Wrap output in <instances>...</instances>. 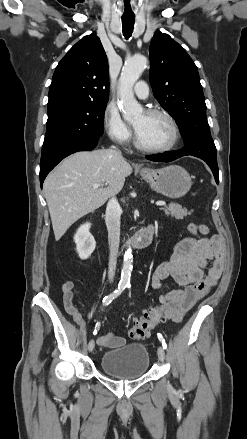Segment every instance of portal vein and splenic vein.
<instances>
[{"label":"portal vein and splenic vein","mask_w":247,"mask_h":439,"mask_svg":"<svg viewBox=\"0 0 247 439\" xmlns=\"http://www.w3.org/2000/svg\"><path fill=\"white\" fill-rule=\"evenodd\" d=\"M101 185L100 184H94L93 185V188L94 189H97V188H99ZM157 206H165L166 205V203L164 202V201H157L156 203H155Z\"/></svg>","instance_id":"obj_1"}]
</instances>
